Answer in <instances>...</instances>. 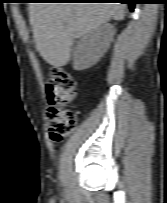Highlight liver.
<instances>
[{
  "label": "liver",
  "instance_id": "obj_1",
  "mask_svg": "<svg viewBox=\"0 0 167 203\" xmlns=\"http://www.w3.org/2000/svg\"><path fill=\"white\" fill-rule=\"evenodd\" d=\"M121 3H30V23L37 50L54 67L69 62L74 40L110 19L123 20Z\"/></svg>",
  "mask_w": 167,
  "mask_h": 203
}]
</instances>
